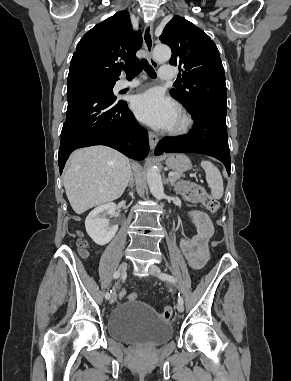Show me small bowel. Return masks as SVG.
<instances>
[{
	"instance_id": "c3829d8e",
	"label": "small bowel",
	"mask_w": 291,
	"mask_h": 381,
	"mask_svg": "<svg viewBox=\"0 0 291 381\" xmlns=\"http://www.w3.org/2000/svg\"><path fill=\"white\" fill-rule=\"evenodd\" d=\"M192 218L194 235L191 239L180 241V248L193 269L200 268L207 257L208 241L213 234V227L209 217L201 211L193 210L189 213Z\"/></svg>"
}]
</instances>
